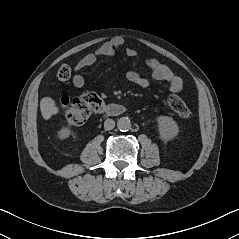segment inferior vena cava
Masks as SVG:
<instances>
[{
  "label": "inferior vena cava",
  "instance_id": "obj_1",
  "mask_svg": "<svg viewBox=\"0 0 239 239\" xmlns=\"http://www.w3.org/2000/svg\"><path fill=\"white\" fill-rule=\"evenodd\" d=\"M115 127V121L113 119H106L104 122V129L105 130H112Z\"/></svg>",
  "mask_w": 239,
  "mask_h": 239
}]
</instances>
